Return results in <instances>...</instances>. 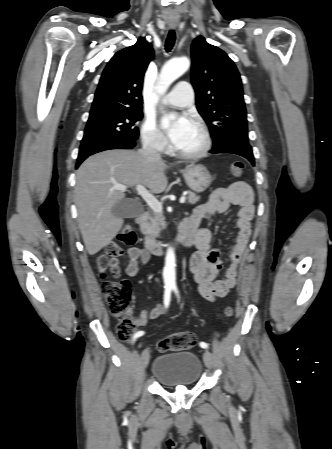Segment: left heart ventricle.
I'll list each match as a JSON object with an SVG mask.
<instances>
[{"instance_id":"left-heart-ventricle-1","label":"left heart ventricle","mask_w":332,"mask_h":449,"mask_svg":"<svg viewBox=\"0 0 332 449\" xmlns=\"http://www.w3.org/2000/svg\"><path fill=\"white\" fill-rule=\"evenodd\" d=\"M202 145V134L196 125L192 124L176 147L182 151H194Z\"/></svg>"}]
</instances>
